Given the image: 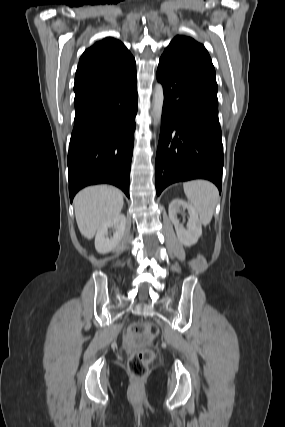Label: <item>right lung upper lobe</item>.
I'll return each mask as SVG.
<instances>
[{
  "label": "right lung upper lobe",
  "mask_w": 285,
  "mask_h": 427,
  "mask_svg": "<svg viewBox=\"0 0 285 427\" xmlns=\"http://www.w3.org/2000/svg\"><path fill=\"white\" fill-rule=\"evenodd\" d=\"M136 72L135 59L119 40L107 37L81 56L75 75V100Z\"/></svg>",
  "instance_id": "right-lung-upper-lobe-1"
}]
</instances>
